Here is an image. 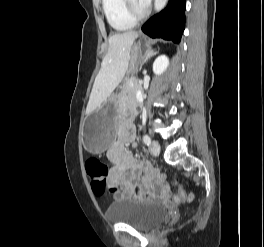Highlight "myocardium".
<instances>
[{
	"label": "myocardium",
	"instance_id": "f54148a6",
	"mask_svg": "<svg viewBox=\"0 0 264 247\" xmlns=\"http://www.w3.org/2000/svg\"><path fill=\"white\" fill-rule=\"evenodd\" d=\"M125 1V9L128 15L135 21H140L145 19L149 13L150 9L145 7L143 10L138 11L134 5L133 0H124Z\"/></svg>",
	"mask_w": 264,
	"mask_h": 247
}]
</instances>
